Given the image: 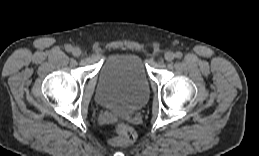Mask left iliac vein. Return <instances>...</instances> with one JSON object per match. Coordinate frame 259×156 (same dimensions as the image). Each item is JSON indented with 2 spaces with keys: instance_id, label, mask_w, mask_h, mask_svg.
I'll return each instance as SVG.
<instances>
[{
  "instance_id": "obj_1",
  "label": "left iliac vein",
  "mask_w": 259,
  "mask_h": 156,
  "mask_svg": "<svg viewBox=\"0 0 259 156\" xmlns=\"http://www.w3.org/2000/svg\"><path fill=\"white\" fill-rule=\"evenodd\" d=\"M164 58L166 61L170 62L175 58V54L173 52H166Z\"/></svg>"
}]
</instances>
